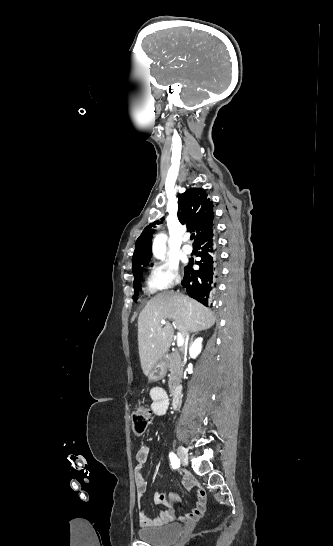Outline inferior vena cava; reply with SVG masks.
Returning a JSON list of instances; mask_svg holds the SVG:
<instances>
[{"mask_svg":"<svg viewBox=\"0 0 333 546\" xmlns=\"http://www.w3.org/2000/svg\"><path fill=\"white\" fill-rule=\"evenodd\" d=\"M188 340H189V334L186 335L185 347H187L188 345Z\"/></svg>","mask_w":333,"mask_h":546,"instance_id":"inferior-vena-cava-1","label":"inferior vena cava"}]
</instances>
